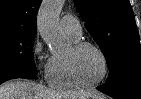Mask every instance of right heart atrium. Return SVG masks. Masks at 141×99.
<instances>
[{
	"label": "right heart atrium",
	"mask_w": 141,
	"mask_h": 99,
	"mask_svg": "<svg viewBox=\"0 0 141 99\" xmlns=\"http://www.w3.org/2000/svg\"><path fill=\"white\" fill-rule=\"evenodd\" d=\"M33 61L38 71L45 77H48L51 58L47 57L44 52L43 43L41 40L36 39L32 47Z\"/></svg>",
	"instance_id": "obj_1"
}]
</instances>
